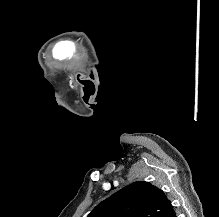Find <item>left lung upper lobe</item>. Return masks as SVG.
<instances>
[{"label": "left lung upper lobe", "instance_id": "obj_1", "mask_svg": "<svg viewBox=\"0 0 219 217\" xmlns=\"http://www.w3.org/2000/svg\"><path fill=\"white\" fill-rule=\"evenodd\" d=\"M87 217H176L162 190L134 182L98 204Z\"/></svg>", "mask_w": 219, "mask_h": 217}]
</instances>
